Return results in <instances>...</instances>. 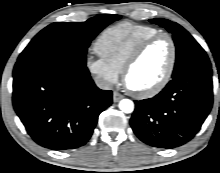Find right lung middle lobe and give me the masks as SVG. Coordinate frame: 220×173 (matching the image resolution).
<instances>
[{
    "mask_svg": "<svg viewBox=\"0 0 220 173\" xmlns=\"http://www.w3.org/2000/svg\"><path fill=\"white\" fill-rule=\"evenodd\" d=\"M119 15H100L86 22L53 23L40 31L20 54L18 61L60 54L86 64L90 42Z\"/></svg>",
    "mask_w": 220,
    "mask_h": 173,
    "instance_id": "1",
    "label": "right lung middle lobe"
}]
</instances>
